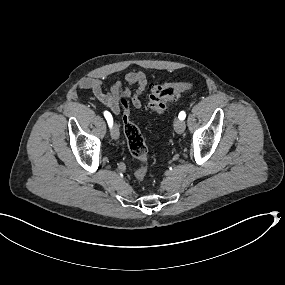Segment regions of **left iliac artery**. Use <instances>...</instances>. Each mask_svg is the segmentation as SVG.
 Instances as JSON below:
<instances>
[{
    "mask_svg": "<svg viewBox=\"0 0 285 285\" xmlns=\"http://www.w3.org/2000/svg\"><path fill=\"white\" fill-rule=\"evenodd\" d=\"M185 117H186L185 112H184V111H181V112L179 113L178 118H179L180 120H184V119H185Z\"/></svg>",
    "mask_w": 285,
    "mask_h": 285,
    "instance_id": "44dca946",
    "label": "left iliac artery"
}]
</instances>
